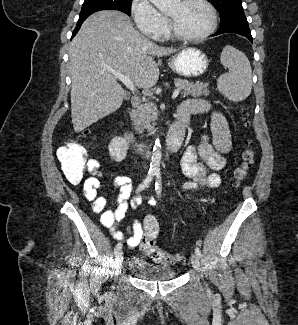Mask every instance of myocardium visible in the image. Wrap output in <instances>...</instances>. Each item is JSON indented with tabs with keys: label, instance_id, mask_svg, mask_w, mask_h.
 I'll return each instance as SVG.
<instances>
[{
	"label": "myocardium",
	"instance_id": "myocardium-1",
	"mask_svg": "<svg viewBox=\"0 0 298 325\" xmlns=\"http://www.w3.org/2000/svg\"><path fill=\"white\" fill-rule=\"evenodd\" d=\"M177 2H183L186 0H176ZM196 3H198L199 5H201L207 12L208 15V25L206 27V29L201 32L198 35L195 36H185L183 34H181L174 26L171 16L168 12H166L165 10H163L166 19H167V32H166V37L177 40V41H182V42H199L204 40L205 38H207L209 35H211L215 29L216 26V19H215V15L214 12L212 10V7L204 0H193Z\"/></svg>",
	"mask_w": 298,
	"mask_h": 325
}]
</instances>
